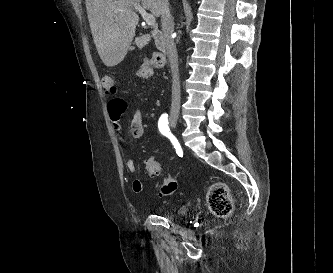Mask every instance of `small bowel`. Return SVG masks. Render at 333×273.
Returning a JSON list of instances; mask_svg holds the SVG:
<instances>
[{"label": "small bowel", "mask_w": 333, "mask_h": 273, "mask_svg": "<svg viewBox=\"0 0 333 273\" xmlns=\"http://www.w3.org/2000/svg\"><path fill=\"white\" fill-rule=\"evenodd\" d=\"M147 61V60H146ZM141 62L139 70L137 71L138 77L149 78L154 76V64L153 62ZM104 86L106 85V80H104ZM108 113L113 124L114 130L118 134V140L120 143H124V137L121 135V118L123 114H127V105L122 100L121 96H114L113 100L107 105ZM130 132L133 138L139 139L144 135L145 128L143 124V113L141 108L137 107L133 113L130 122ZM154 159V158H149ZM125 165L130 173H135L136 164L135 161L127 155L125 158ZM156 176V175H150ZM132 189L136 193H140L144 190L143 181L140 178H135L132 182Z\"/></svg>", "instance_id": "c3829d8e"}]
</instances>
